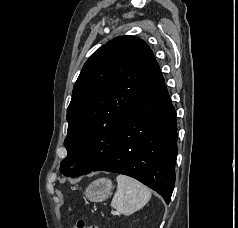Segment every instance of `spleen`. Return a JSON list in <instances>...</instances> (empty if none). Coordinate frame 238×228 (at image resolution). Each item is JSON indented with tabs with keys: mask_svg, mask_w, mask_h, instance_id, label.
Masks as SVG:
<instances>
[{
	"mask_svg": "<svg viewBox=\"0 0 238 228\" xmlns=\"http://www.w3.org/2000/svg\"><path fill=\"white\" fill-rule=\"evenodd\" d=\"M117 191L111 201V206L120 214L129 216L144 207L151 198V192L136 179L118 175Z\"/></svg>",
	"mask_w": 238,
	"mask_h": 228,
	"instance_id": "obj_1",
	"label": "spleen"
}]
</instances>
